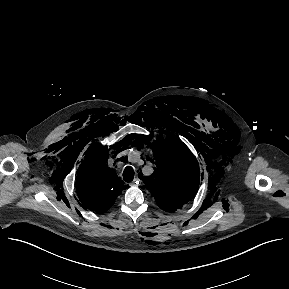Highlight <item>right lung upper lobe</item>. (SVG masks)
I'll use <instances>...</instances> for the list:
<instances>
[{
  "instance_id": "cb5924a9",
  "label": "right lung upper lobe",
  "mask_w": 289,
  "mask_h": 289,
  "mask_svg": "<svg viewBox=\"0 0 289 289\" xmlns=\"http://www.w3.org/2000/svg\"><path fill=\"white\" fill-rule=\"evenodd\" d=\"M107 158L105 147L91 150L77 175L78 197L82 205L92 212L102 213L110 209L121 191L127 187L106 166Z\"/></svg>"
}]
</instances>
